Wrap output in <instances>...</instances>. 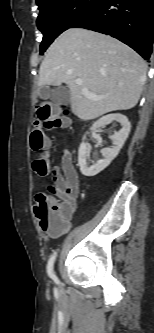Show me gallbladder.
I'll use <instances>...</instances> for the list:
<instances>
[{
    "mask_svg": "<svg viewBox=\"0 0 154 333\" xmlns=\"http://www.w3.org/2000/svg\"><path fill=\"white\" fill-rule=\"evenodd\" d=\"M39 97L44 100L50 98L55 105L68 104L70 101V91L64 86H57L53 89H50L48 86H42L39 89Z\"/></svg>",
    "mask_w": 154,
    "mask_h": 333,
    "instance_id": "gallbladder-1",
    "label": "gallbladder"
}]
</instances>
